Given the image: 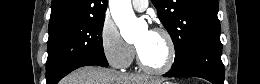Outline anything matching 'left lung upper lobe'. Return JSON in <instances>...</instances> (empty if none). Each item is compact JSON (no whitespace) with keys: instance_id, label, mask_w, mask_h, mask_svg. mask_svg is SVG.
<instances>
[{"instance_id":"left-lung-upper-lobe-1","label":"left lung upper lobe","mask_w":260,"mask_h":84,"mask_svg":"<svg viewBox=\"0 0 260 84\" xmlns=\"http://www.w3.org/2000/svg\"><path fill=\"white\" fill-rule=\"evenodd\" d=\"M175 46L174 66L195 48L220 42L217 0H152Z\"/></svg>"}]
</instances>
